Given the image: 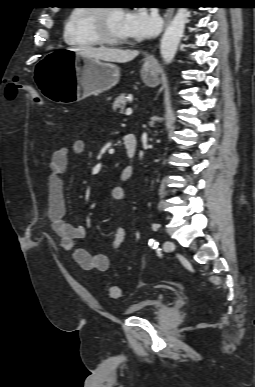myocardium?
Instances as JSON below:
<instances>
[{"label": "myocardium", "mask_w": 255, "mask_h": 387, "mask_svg": "<svg viewBox=\"0 0 255 387\" xmlns=\"http://www.w3.org/2000/svg\"><path fill=\"white\" fill-rule=\"evenodd\" d=\"M113 7L95 8L92 17L93 30L102 44L118 46L128 42L127 38H119L113 35L109 28V15Z\"/></svg>", "instance_id": "f54148a6"}]
</instances>
